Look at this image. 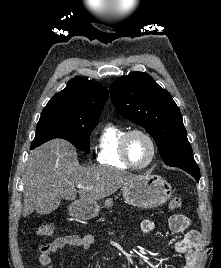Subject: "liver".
<instances>
[{
	"label": "liver",
	"mask_w": 221,
	"mask_h": 268,
	"mask_svg": "<svg viewBox=\"0 0 221 268\" xmlns=\"http://www.w3.org/2000/svg\"><path fill=\"white\" fill-rule=\"evenodd\" d=\"M134 176L111 167H82L75 148L65 140L54 139L31 151L22 176L24 207L27 217L34 210L46 214L61 198L97 201L116 192ZM84 187L76 190L75 186Z\"/></svg>",
	"instance_id": "1"
}]
</instances>
